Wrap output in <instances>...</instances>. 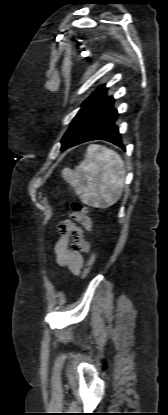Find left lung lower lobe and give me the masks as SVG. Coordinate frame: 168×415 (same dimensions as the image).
Returning <instances> with one entry per match:
<instances>
[{
  "instance_id": "0a47b994",
  "label": "left lung lower lobe",
  "mask_w": 168,
  "mask_h": 415,
  "mask_svg": "<svg viewBox=\"0 0 168 415\" xmlns=\"http://www.w3.org/2000/svg\"><path fill=\"white\" fill-rule=\"evenodd\" d=\"M113 104L114 100L95 117L73 146L91 140H105L125 149L121 141V134L115 125L118 112Z\"/></svg>"
}]
</instances>
